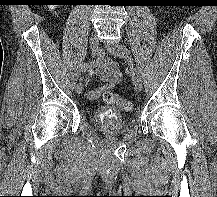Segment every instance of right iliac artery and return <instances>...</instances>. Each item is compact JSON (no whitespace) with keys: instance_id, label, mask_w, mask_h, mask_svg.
<instances>
[{"instance_id":"right-iliac-artery-1","label":"right iliac artery","mask_w":217,"mask_h":197,"mask_svg":"<svg viewBox=\"0 0 217 197\" xmlns=\"http://www.w3.org/2000/svg\"><path fill=\"white\" fill-rule=\"evenodd\" d=\"M101 51L102 50H97L95 53H93V55L94 56H96V59L94 60V61H91V62H87V63H85L82 67H81V72L84 74V73H86L87 71H89L92 67H94L96 64H97V62H98V60H99V57H100V55H101Z\"/></svg>"}]
</instances>
